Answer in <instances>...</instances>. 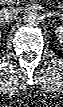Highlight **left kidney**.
I'll use <instances>...</instances> for the list:
<instances>
[{
  "label": "left kidney",
  "instance_id": "5707ae66",
  "mask_svg": "<svg viewBox=\"0 0 63 107\" xmlns=\"http://www.w3.org/2000/svg\"><path fill=\"white\" fill-rule=\"evenodd\" d=\"M56 36L60 43H63V26L60 25L55 30Z\"/></svg>",
  "mask_w": 63,
  "mask_h": 107
}]
</instances>
